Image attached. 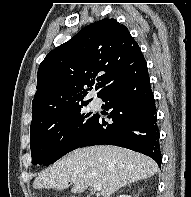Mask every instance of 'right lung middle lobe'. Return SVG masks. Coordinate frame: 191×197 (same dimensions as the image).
Instances as JSON below:
<instances>
[{
  "label": "right lung middle lobe",
  "instance_id": "dd1d6c3e",
  "mask_svg": "<svg viewBox=\"0 0 191 197\" xmlns=\"http://www.w3.org/2000/svg\"><path fill=\"white\" fill-rule=\"evenodd\" d=\"M88 103L55 114L30 129L32 164L47 166L78 148L97 117L83 109Z\"/></svg>",
  "mask_w": 191,
  "mask_h": 197
}]
</instances>
